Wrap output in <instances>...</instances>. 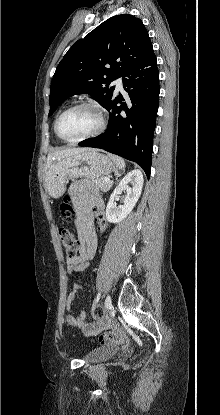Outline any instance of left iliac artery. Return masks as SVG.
Segmentation results:
<instances>
[{"mask_svg":"<svg viewBox=\"0 0 220 415\" xmlns=\"http://www.w3.org/2000/svg\"><path fill=\"white\" fill-rule=\"evenodd\" d=\"M100 296H101V293H98L97 296H96V298H95V300H94V302H93L92 310H94L97 307L98 302L100 300Z\"/></svg>","mask_w":220,"mask_h":415,"instance_id":"left-iliac-artery-1","label":"left iliac artery"}]
</instances>
